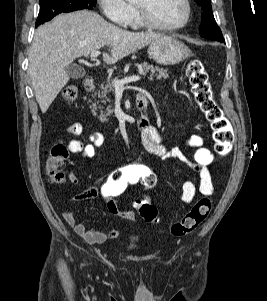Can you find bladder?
Segmentation results:
<instances>
[{"label": "bladder", "instance_id": "bladder-1", "mask_svg": "<svg viewBox=\"0 0 267 301\" xmlns=\"http://www.w3.org/2000/svg\"><path fill=\"white\" fill-rule=\"evenodd\" d=\"M140 240H141V237L138 234H130L126 238L128 245L137 244Z\"/></svg>", "mask_w": 267, "mask_h": 301}]
</instances>
